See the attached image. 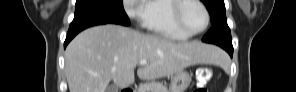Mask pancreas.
I'll return each mask as SVG.
<instances>
[{"mask_svg": "<svg viewBox=\"0 0 296 92\" xmlns=\"http://www.w3.org/2000/svg\"><path fill=\"white\" fill-rule=\"evenodd\" d=\"M138 92H168L166 85L157 81L140 84Z\"/></svg>", "mask_w": 296, "mask_h": 92, "instance_id": "pancreas-1", "label": "pancreas"}]
</instances>
